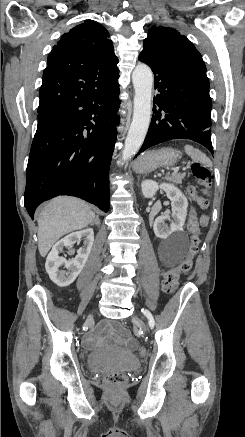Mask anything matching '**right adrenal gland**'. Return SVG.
<instances>
[{
  "label": "right adrenal gland",
  "mask_w": 245,
  "mask_h": 437,
  "mask_svg": "<svg viewBox=\"0 0 245 437\" xmlns=\"http://www.w3.org/2000/svg\"><path fill=\"white\" fill-rule=\"evenodd\" d=\"M94 224H96V225H100V220H99V217H98V216H96L94 222L91 223V225H94Z\"/></svg>",
  "instance_id": "right-adrenal-gland-1"
}]
</instances>
